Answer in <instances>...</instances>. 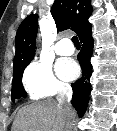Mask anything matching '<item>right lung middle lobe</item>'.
Returning <instances> with one entry per match:
<instances>
[{"mask_svg": "<svg viewBox=\"0 0 117 131\" xmlns=\"http://www.w3.org/2000/svg\"><path fill=\"white\" fill-rule=\"evenodd\" d=\"M26 66L27 65L19 67L16 70H14L12 80V95H11L12 101H14L15 99L26 97V93L22 85V74Z\"/></svg>", "mask_w": 117, "mask_h": 131, "instance_id": "dd1d6c3e", "label": "right lung middle lobe"}]
</instances>
